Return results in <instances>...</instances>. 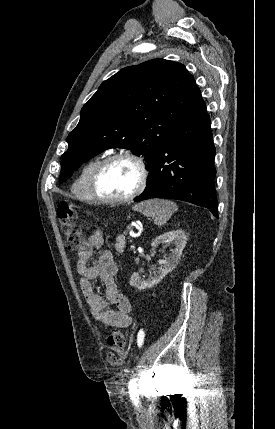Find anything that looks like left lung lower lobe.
<instances>
[{"instance_id":"0a47b994","label":"left lung lower lobe","mask_w":275,"mask_h":429,"mask_svg":"<svg viewBox=\"0 0 275 429\" xmlns=\"http://www.w3.org/2000/svg\"><path fill=\"white\" fill-rule=\"evenodd\" d=\"M210 118L196 87L185 113L148 167V184L134 201L178 199L208 208L218 218L215 147Z\"/></svg>"}]
</instances>
